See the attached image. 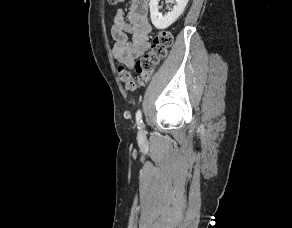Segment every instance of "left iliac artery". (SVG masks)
<instances>
[{
	"label": "left iliac artery",
	"mask_w": 292,
	"mask_h": 228,
	"mask_svg": "<svg viewBox=\"0 0 292 228\" xmlns=\"http://www.w3.org/2000/svg\"><path fill=\"white\" fill-rule=\"evenodd\" d=\"M135 119H136L137 126H138V128L140 129L141 126H142V123H143V121H142V113H141V110H138V111L136 112Z\"/></svg>",
	"instance_id": "left-iliac-artery-1"
}]
</instances>
